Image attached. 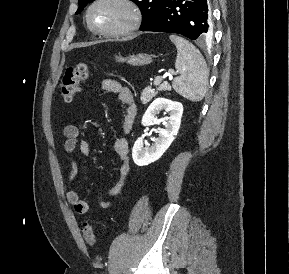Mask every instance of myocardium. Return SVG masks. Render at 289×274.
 <instances>
[{
  "label": "myocardium",
  "mask_w": 289,
  "mask_h": 274,
  "mask_svg": "<svg viewBox=\"0 0 289 274\" xmlns=\"http://www.w3.org/2000/svg\"><path fill=\"white\" fill-rule=\"evenodd\" d=\"M105 2H114L118 3L122 6H124L128 11V20L127 22L122 25L119 28L113 29V30H101L96 28L92 22H91V12L92 10L99 4L105 3ZM85 21L87 24V27L91 32H93L96 35L102 36V37H122L129 35L136 31L142 21V13L139 5L134 0H93L90 5L87 7L86 13H85Z\"/></svg>",
  "instance_id": "f54148a6"
}]
</instances>
